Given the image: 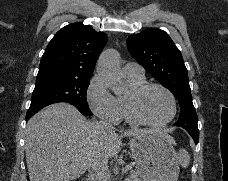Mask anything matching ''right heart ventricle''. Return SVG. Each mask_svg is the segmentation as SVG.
Wrapping results in <instances>:
<instances>
[{
  "mask_svg": "<svg viewBox=\"0 0 228 181\" xmlns=\"http://www.w3.org/2000/svg\"><path fill=\"white\" fill-rule=\"evenodd\" d=\"M120 76L124 78L125 81H122V82H124L126 84V87H127V89L124 93H122V94L117 93L118 94L117 101H118V104L120 107L121 116L123 118H125L128 122L135 123L136 121L132 118L130 111H129V108H128V97H129V94L133 88H135L138 85L145 83V78L143 75H141V76H130V75H127L126 73H121L118 70L119 80H120Z\"/></svg>",
  "mask_w": 228,
  "mask_h": 181,
  "instance_id": "right-heart-ventricle-1",
  "label": "right heart ventricle"
}]
</instances>
